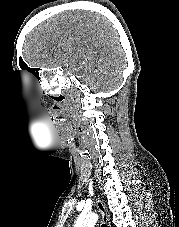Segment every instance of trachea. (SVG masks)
<instances>
[{"instance_id": "3493384b", "label": "trachea", "mask_w": 179, "mask_h": 227, "mask_svg": "<svg viewBox=\"0 0 179 227\" xmlns=\"http://www.w3.org/2000/svg\"><path fill=\"white\" fill-rule=\"evenodd\" d=\"M101 227H107V225L103 224Z\"/></svg>"}]
</instances>
